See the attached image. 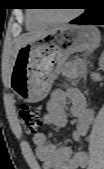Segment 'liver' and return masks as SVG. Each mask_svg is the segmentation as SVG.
<instances>
[{
	"label": "liver",
	"mask_w": 104,
	"mask_h": 169,
	"mask_svg": "<svg viewBox=\"0 0 104 169\" xmlns=\"http://www.w3.org/2000/svg\"><path fill=\"white\" fill-rule=\"evenodd\" d=\"M54 29L51 30H47V31H39L36 33H30V34H24L22 36H20L15 43V52H14V57H16L18 50L25 46L26 44L33 42L35 40H37L38 38H40L41 36L53 31Z\"/></svg>",
	"instance_id": "liver-1"
}]
</instances>
